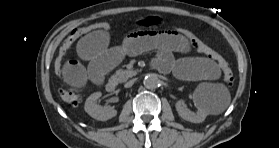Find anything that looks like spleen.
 <instances>
[{
	"mask_svg": "<svg viewBox=\"0 0 279 148\" xmlns=\"http://www.w3.org/2000/svg\"><path fill=\"white\" fill-rule=\"evenodd\" d=\"M197 91L211 114L222 113L230 104V94L223 84H200Z\"/></svg>",
	"mask_w": 279,
	"mask_h": 148,
	"instance_id": "3e777b00",
	"label": "spleen"
}]
</instances>
